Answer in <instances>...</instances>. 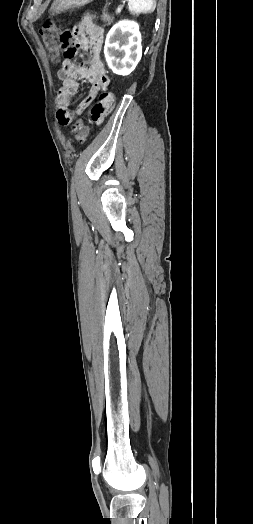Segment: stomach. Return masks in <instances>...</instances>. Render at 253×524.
<instances>
[{"instance_id": "0dacf381", "label": "stomach", "mask_w": 253, "mask_h": 524, "mask_svg": "<svg viewBox=\"0 0 253 524\" xmlns=\"http://www.w3.org/2000/svg\"><path fill=\"white\" fill-rule=\"evenodd\" d=\"M92 0H54L51 6L52 14H58L68 9H74L90 3Z\"/></svg>"}]
</instances>
